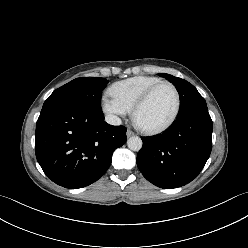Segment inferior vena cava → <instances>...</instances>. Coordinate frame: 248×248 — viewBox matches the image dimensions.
Masks as SVG:
<instances>
[{
    "label": "inferior vena cava",
    "mask_w": 248,
    "mask_h": 248,
    "mask_svg": "<svg viewBox=\"0 0 248 248\" xmlns=\"http://www.w3.org/2000/svg\"><path fill=\"white\" fill-rule=\"evenodd\" d=\"M105 121L111 125H121L122 121L116 115L108 114L105 116Z\"/></svg>",
    "instance_id": "1"
}]
</instances>
